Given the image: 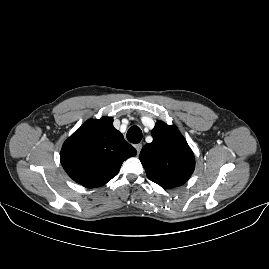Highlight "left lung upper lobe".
<instances>
[{"mask_svg": "<svg viewBox=\"0 0 269 269\" xmlns=\"http://www.w3.org/2000/svg\"><path fill=\"white\" fill-rule=\"evenodd\" d=\"M153 142L140 152V161L150 180L165 187L183 185L195 168V158L175 126L158 121L151 132Z\"/></svg>", "mask_w": 269, "mask_h": 269, "instance_id": "1", "label": "left lung upper lobe"}]
</instances>
